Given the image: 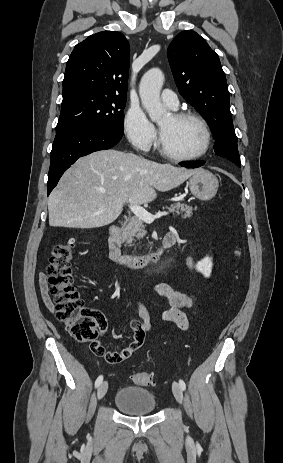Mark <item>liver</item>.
<instances>
[{
	"label": "liver",
	"mask_w": 283,
	"mask_h": 463,
	"mask_svg": "<svg viewBox=\"0 0 283 463\" xmlns=\"http://www.w3.org/2000/svg\"><path fill=\"white\" fill-rule=\"evenodd\" d=\"M197 171L112 149L91 153L78 159L51 192L49 225L106 226L119 217L124 204L152 202L156 191L172 190Z\"/></svg>",
	"instance_id": "1"
}]
</instances>
